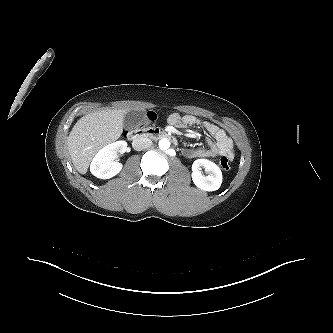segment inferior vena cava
<instances>
[{"instance_id": "obj_1", "label": "inferior vena cava", "mask_w": 333, "mask_h": 333, "mask_svg": "<svg viewBox=\"0 0 333 333\" xmlns=\"http://www.w3.org/2000/svg\"><path fill=\"white\" fill-rule=\"evenodd\" d=\"M151 140L145 137L137 138L133 141L132 146L135 150H143L151 145Z\"/></svg>"}]
</instances>
